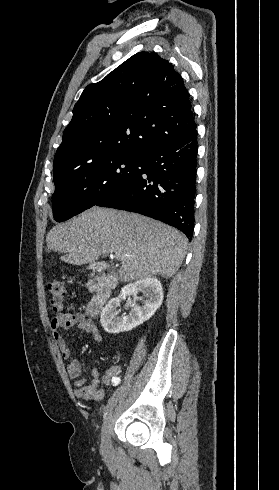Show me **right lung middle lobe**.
Wrapping results in <instances>:
<instances>
[{
    "mask_svg": "<svg viewBox=\"0 0 279 490\" xmlns=\"http://www.w3.org/2000/svg\"><path fill=\"white\" fill-rule=\"evenodd\" d=\"M143 157L109 153L54 177L53 215L65 221L95 206L143 172Z\"/></svg>",
    "mask_w": 279,
    "mask_h": 490,
    "instance_id": "right-lung-middle-lobe-1",
    "label": "right lung middle lobe"
}]
</instances>
